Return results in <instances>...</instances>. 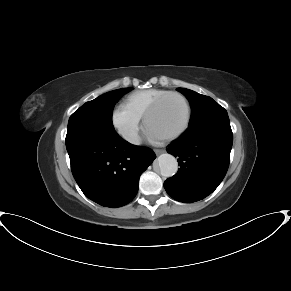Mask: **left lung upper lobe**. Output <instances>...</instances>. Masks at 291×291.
Returning a JSON list of instances; mask_svg holds the SVG:
<instances>
[{
    "mask_svg": "<svg viewBox=\"0 0 291 291\" xmlns=\"http://www.w3.org/2000/svg\"><path fill=\"white\" fill-rule=\"evenodd\" d=\"M177 90L183 93L191 104L192 115L187 130L197 129L211 120L227 116V111L211 97L185 88H178Z\"/></svg>",
    "mask_w": 291,
    "mask_h": 291,
    "instance_id": "obj_1",
    "label": "left lung upper lobe"
}]
</instances>
